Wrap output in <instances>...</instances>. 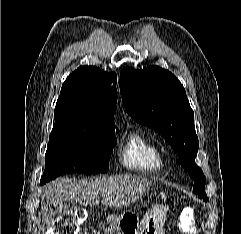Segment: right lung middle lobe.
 Wrapping results in <instances>:
<instances>
[{
	"mask_svg": "<svg viewBox=\"0 0 241 234\" xmlns=\"http://www.w3.org/2000/svg\"><path fill=\"white\" fill-rule=\"evenodd\" d=\"M54 119L41 184L66 173L107 172L117 128L80 125L65 113H54Z\"/></svg>",
	"mask_w": 241,
	"mask_h": 234,
	"instance_id": "right-lung-middle-lobe-1",
	"label": "right lung middle lobe"
}]
</instances>
